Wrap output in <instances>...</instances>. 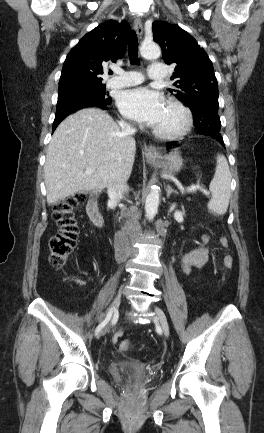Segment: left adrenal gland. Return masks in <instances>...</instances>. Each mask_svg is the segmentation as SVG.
I'll use <instances>...</instances> for the list:
<instances>
[{"mask_svg":"<svg viewBox=\"0 0 264 433\" xmlns=\"http://www.w3.org/2000/svg\"><path fill=\"white\" fill-rule=\"evenodd\" d=\"M178 192L174 190L170 185H167L166 187V196L167 198L170 197L171 194H177Z\"/></svg>","mask_w":264,"mask_h":433,"instance_id":"a2214340","label":"left adrenal gland"}]
</instances>
